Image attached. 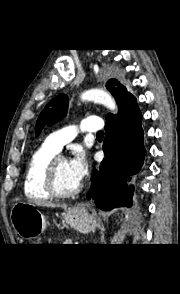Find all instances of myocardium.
<instances>
[{
    "mask_svg": "<svg viewBox=\"0 0 180 294\" xmlns=\"http://www.w3.org/2000/svg\"><path fill=\"white\" fill-rule=\"evenodd\" d=\"M61 161H67L65 157L55 156L48 164L44 173V188L48 194L57 199H67L78 195L82 190V184H80L75 190L70 192H63L59 190L56 182V171L58 164Z\"/></svg>",
    "mask_w": 180,
    "mask_h": 294,
    "instance_id": "obj_1",
    "label": "myocardium"
}]
</instances>
